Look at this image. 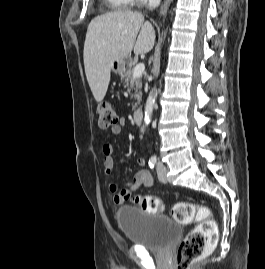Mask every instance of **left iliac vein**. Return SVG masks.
Instances as JSON below:
<instances>
[{
    "mask_svg": "<svg viewBox=\"0 0 265 269\" xmlns=\"http://www.w3.org/2000/svg\"><path fill=\"white\" fill-rule=\"evenodd\" d=\"M167 169L165 165L162 162L157 163V174L158 178L161 182L166 183L167 177H166Z\"/></svg>",
    "mask_w": 265,
    "mask_h": 269,
    "instance_id": "1",
    "label": "left iliac vein"
}]
</instances>
